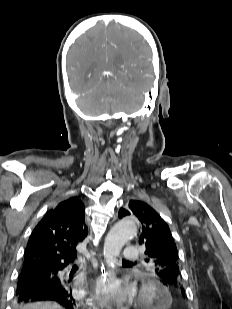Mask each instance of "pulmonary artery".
Here are the masks:
<instances>
[{
    "mask_svg": "<svg viewBox=\"0 0 232 309\" xmlns=\"http://www.w3.org/2000/svg\"><path fill=\"white\" fill-rule=\"evenodd\" d=\"M123 256L126 260L135 261L138 259V250L134 246L127 247L123 252Z\"/></svg>",
    "mask_w": 232,
    "mask_h": 309,
    "instance_id": "e3ab8cb5",
    "label": "pulmonary artery"
}]
</instances>
